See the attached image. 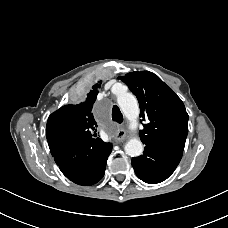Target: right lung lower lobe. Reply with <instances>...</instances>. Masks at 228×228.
Returning <instances> with one entry per match:
<instances>
[{
    "mask_svg": "<svg viewBox=\"0 0 228 228\" xmlns=\"http://www.w3.org/2000/svg\"><path fill=\"white\" fill-rule=\"evenodd\" d=\"M49 147L62 173L83 186L93 185L103 177L112 150V145L101 139L75 140Z\"/></svg>",
    "mask_w": 228,
    "mask_h": 228,
    "instance_id": "obj_1",
    "label": "right lung lower lobe"
}]
</instances>
